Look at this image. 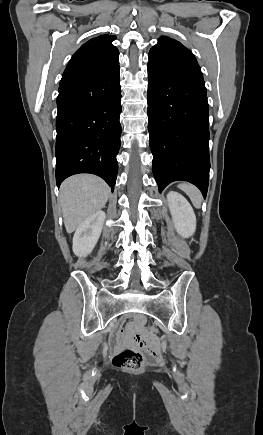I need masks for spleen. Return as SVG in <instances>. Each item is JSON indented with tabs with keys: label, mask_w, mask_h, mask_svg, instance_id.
Here are the masks:
<instances>
[{
	"label": "spleen",
	"mask_w": 263,
	"mask_h": 435,
	"mask_svg": "<svg viewBox=\"0 0 263 435\" xmlns=\"http://www.w3.org/2000/svg\"><path fill=\"white\" fill-rule=\"evenodd\" d=\"M178 188L183 190L190 198L192 204L196 208H200L202 204V194L194 185L189 183H181Z\"/></svg>",
	"instance_id": "3e777b00"
}]
</instances>
